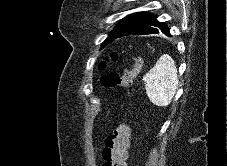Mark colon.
<instances>
[{"label": "colon", "instance_id": "colon-1", "mask_svg": "<svg viewBox=\"0 0 227 166\" xmlns=\"http://www.w3.org/2000/svg\"><path fill=\"white\" fill-rule=\"evenodd\" d=\"M116 58L117 53L113 52ZM142 60L140 57L132 58V67L124 74L108 72L103 75L101 83L106 88L127 87L132 83L136 74L141 70ZM130 142V128L127 124H119L115 130L106 138L103 148L104 166H126Z\"/></svg>", "mask_w": 227, "mask_h": 166}]
</instances>
